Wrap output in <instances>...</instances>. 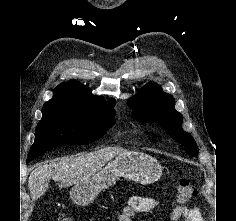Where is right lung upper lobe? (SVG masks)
I'll return each instance as SVG.
<instances>
[{
    "instance_id": "cb5924a9",
    "label": "right lung upper lobe",
    "mask_w": 236,
    "mask_h": 221,
    "mask_svg": "<svg viewBox=\"0 0 236 221\" xmlns=\"http://www.w3.org/2000/svg\"><path fill=\"white\" fill-rule=\"evenodd\" d=\"M114 100L106 105L102 99L92 95L91 91L80 83L66 82L58 85L54 90L51 100L47 101L44 106H68L79 109H96L104 106H113Z\"/></svg>"
}]
</instances>
